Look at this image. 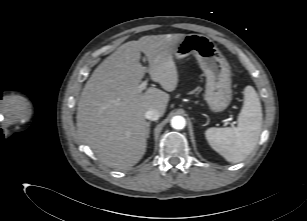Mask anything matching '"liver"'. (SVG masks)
<instances>
[{
	"label": "liver",
	"mask_w": 307,
	"mask_h": 221,
	"mask_svg": "<svg viewBox=\"0 0 307 221\" xmlns=\"http://www.w3.org/2000/svg\"><path fill=\"white\" fill-rule=\"evenodd\" d=\"M184 34L143 36L117 48L92 73L77 107V134L106 166L126 169L146 152L148 122L145 113L156 109L164 115L178 84L173 59L176 43ZM143 52L149 63H140ZM165 91L155 87L138 93L145 73Z\"/></svg>",
	"instance_id": "6515ba94"
}]
</instances>
